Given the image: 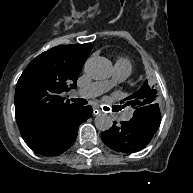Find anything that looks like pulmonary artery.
Instances as JSON below:
<instances>
[{"mask_svg":"<svg viewBox=\"0 0 193 193\" xmlns=\"http://www.w3.org/2000/svg\"><path fill=\"white\" fill-rule=\"evenodd\" d=\"M115 71V79L116 81H123L130 75V71L126 69H122L119 65L114 66ZM106 91V89L103 87V84L101 82H93L87 87L80 88L77 90V92L73 93V95H83L86 97H97L103 94ZM129 115L125 116V119H128Z\"/></svg>","mask_w":193,"mask_h":193,"instance_id":"pulmonary-artery-1","label":"pulmonary artery"}]
</instances>
